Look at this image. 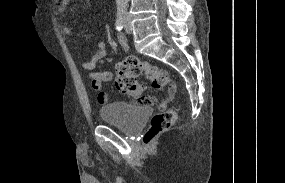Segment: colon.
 <instances>
[{
  "label": "colon",
  "instance_id": "1",
  "mask_svg": "<svg viewBox=\"0 0 285 183\" xmlns=\"http://www.w3.org/2000/svg\"><path fill=\"white\" fill-rule=\"evenodd\" d=\"M60 1L64 2V0ZM115 71L116 89L121 93L139 98L140 102L145 104H152L154 99L151 97L140 98L143 89L137 82L138 76L145 75L151 81L153 88L156 89L172 83L167 71L141 61L135 56H128L123 61L116 63ZM160 108L162 110L152 117L149 130L144 136L143 143L146 146L151 145L157 135L172 127L176 122L177 113L174 110L165 109L164 101L160 102Z\"/></svg>",
  "mask_w": 285,
  "mask_h": 183
}]
</instances>
